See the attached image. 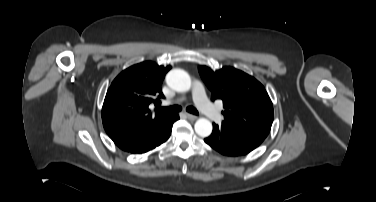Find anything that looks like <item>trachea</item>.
<instances>
[{
	"label": "trachea",
	"instance_id": "trachea-1",
	"mask_svg": "<svg viewBox=\"0 0 376 202\" xmlns=\"http://www.w3.org/2000/svg\"><path fill=\"white\" fill-rule=\"evenodd\" d=\"M158 109H160L161 111L166 112V113H175V112L181 111L182 107L178 106V105H174V106H170V107H158ZM186 110L191 114L198 115L197 109L194 108L193 106H188L186 108Z\"/></svg>",
	"mask_w": 376,
	"mask_h": 202
}]
</instances>
